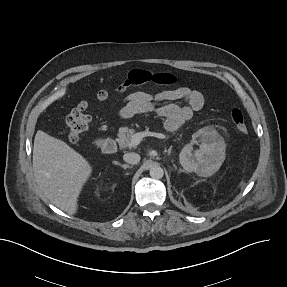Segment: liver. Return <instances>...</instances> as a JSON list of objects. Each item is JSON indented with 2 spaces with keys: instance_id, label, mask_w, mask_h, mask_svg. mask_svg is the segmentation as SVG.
<instances>
[{
  "instance_id": "1",
  "label": "liver",
  "mask_w": 287,
  "mask_h": 287,
  "mask_svg": "<svg viewBox=\"0 0 287 287\" xmlns=\"http://www.w3.org/2000/svg\"><path fill=\"white\" fill-rule=\"evenodd\" d=\"M33 172L52 204L70 215L77 212L79 195L92 173L86 158L66 142L39 130L34 139Z\"/></svg>"
}]
</instances>
